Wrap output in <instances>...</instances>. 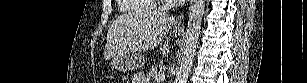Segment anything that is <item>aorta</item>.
<instances>
[{"instance_id":"aorta-1","label":"aorta","mask_w":307,"mask_h":83,"mask_svg":"<svg viewBox=\"0 0 307 83\" xmlns=\"http://www.w3.org/2000/svg\"><path fill=\"white\" fill-rule=\"evenodd\" d=\"M205 0H190L188 25L186 29L185 50L176 75L175 83H186L196 51V45L204 14Z\"/></svg>"}]
</instances>
